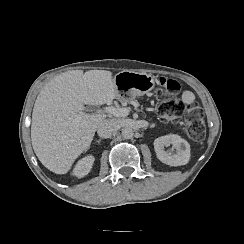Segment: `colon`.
I'll list each match as a JSON object with an SVG mask.
<instances>
[{
	"mask_svg": "<svg viewBox=\"0 0 244 244\" xmlns=\"http://www.w3.org/2000/svg\"><path fill=\"white\" fill-rule=\"evenodd\" d=\"M158 86L157 111L160 121L171 120L172 125L179 126L181 116H185L189 137L195 142L202 141L206 132L202 107L194 100L188 99L186 104L180 98V84L176 80L161 78Z\"/></svg>",
	"mask_w": 244,
	"mask_h": 244,
	"instance_id": "5ec220e1",
	"label": "colon"
}]
</instances>
